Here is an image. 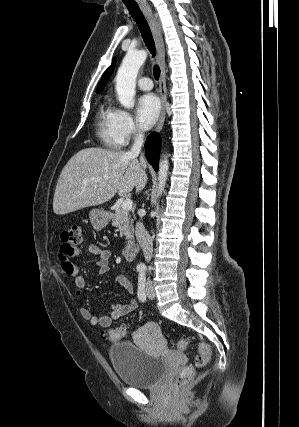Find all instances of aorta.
<instances>
[{
    "label": "aorta",
    "mask_w": 299,
    "mask_h": 427,
    "mask_svg": "<svg viewBox=\"0 0 299 427\" xmlns=\"http://www.w3.org/2000/svg\"><path fill=\"white\" fill-rule=\"evenodd\" d=\"M147 58L145 50L128 51L124 57L116 76V92L120 104L129 109L134 106L136 78L140 67ZM169 171V160L167 156L159 162L157 196L164 191Z\"/></svg>",
    "instance_id": "762f6f07"
}]
</instances>
